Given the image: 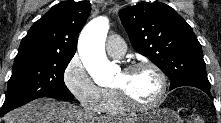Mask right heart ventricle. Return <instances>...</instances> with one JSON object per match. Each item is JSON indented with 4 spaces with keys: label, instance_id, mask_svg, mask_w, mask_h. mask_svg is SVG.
I'll list each match as a JSON object with an SVG mask.
<instances>
[{
    "label": "right heart ventricle",
    "instance_id": "obj_1",
    "mask_svg": "<svg viewBox=\"0 0 221 123\" xmlns=\"http://www.w3.org/2000/svg\"><path fill=\"white\" fill-rule=\"evenodd\" d=\"M105 96L101 112L111 117H121L128 113L113 89H104Z\"/></svg>",
    "mask_w": 221,
    "mask_h": 123
}]
</instances>
